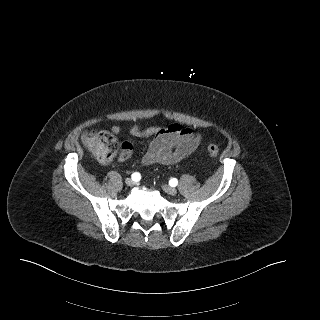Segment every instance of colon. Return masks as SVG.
Listing matches in <instances>:
<instances>
[{
  "label": "colon",
  "mask_w": 320,
  "mask_h": 320,
  "mask_svg": "<svg viewBox=\"0 0 320 320\" xmlns=\"http://www.w3.org/2000/svg\"><path fill=\"white\" fill-rule=\"evenodd\" d=\"M83 140L101 162L112 160L119 150L116 138L107 131L88 133L83 136ZM207 151L212 157L219 154L218 146L212 143L207 146Z\"/></svg>",
  "instance_id": "1"
}]
</instances>
